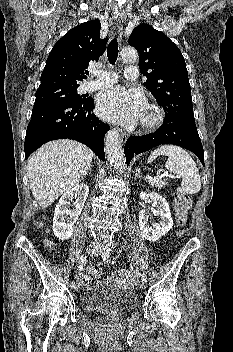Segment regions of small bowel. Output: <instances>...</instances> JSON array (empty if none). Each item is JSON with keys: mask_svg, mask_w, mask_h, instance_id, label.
Returning a JSON list of instances; mask_svg holds the SVG:
<instances>
[{"mask_svg": "<svg viewBox=\"0 0 233 352\" xmlns=\"http://www.w3.org/2000/svg\"><path fill=\"white\" fill-rule=\"evenodd\" d=\"M83 265L79 266V270L77 272L76 278L77 280L80 282V284H84L85 282V276H84V272H83Z\"/></svg>", "mask_w": 233, "mask_h": 352, "instance_id": "obj_1", "label": "small bowel"}]
</instances>
